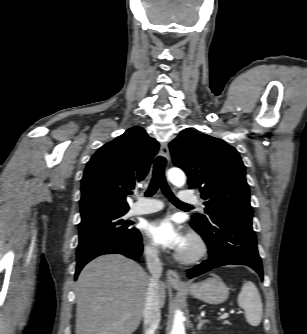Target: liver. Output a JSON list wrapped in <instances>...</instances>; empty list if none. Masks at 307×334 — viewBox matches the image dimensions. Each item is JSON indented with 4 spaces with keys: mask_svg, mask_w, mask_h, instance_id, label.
Returning a JSON list of instances; mask_svg holds the SVG:
<instances>
[{
    "mask_svg": "<svg viewBox=\"0 0 307 334\" xmlns=\"http://www.w3.org/2000/svg\"><path fill=\"white\" fill-rule=\"evenodd\" d=\"M150 277L135 261L110 254L89 262L76 282V334H132L139 326ZM161 307L166 285L159 283Z\"/></svg>",
    "mask_w": 307,
    "mask_h": 334,
    "instance_id": "6515ba94",
    "label": "liver"
}]
</instances>
